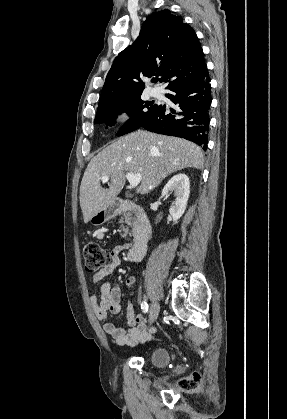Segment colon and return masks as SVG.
Instances as JSON below:
<instances>
[{
    "label": "colon",
    "mask_w": 287,
    "mask_h": 419,
    "mask_svg": "<svg viewBox=\"0 0 287 419\" xmlns=\"http://www.w3.org/2000/svg\"><path fill=\"white\" fill-rule=\"evenodd\" d=\"M84 257L86 269L95 272L109 264L111 253L96 243H89L84 247ZM200 385L201 376L197 372L180 381V387L185 390H194L199 388Z\"/></svg>",
    "instance_id": "colon-1"
}]
</instances>
